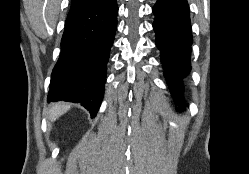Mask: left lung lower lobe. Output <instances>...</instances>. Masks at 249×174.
I'll return each instance as SVG.
<instances>
[{
	"instance_id": "obj_1",
	"label": "left lung lower lobe",
	"mask_w": 249,
	"mask_h": 174,
	"mask_svg": "<svg viewBox=\"0 0 249 174\" xmlns=\"http://www.w3.org/2000/svg\"><path fill=\"white\" fill-rule=\"evenodd\" d=\"M156 46L164 75L176 101L181 100L182 79L191 69L192 29L187 0H157L153 7Z\"/></svg>"
}]
</instances>
